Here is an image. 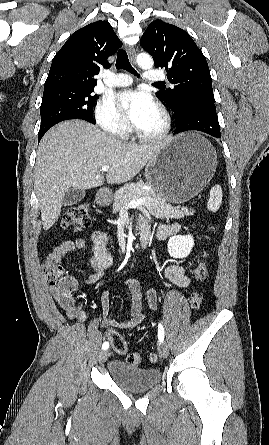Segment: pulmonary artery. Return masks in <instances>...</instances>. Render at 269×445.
<instances>
[{
  "label": "pulmonary artery",
  "instance_id": "obj_1",
  "mask_svg": "<svg viewBox=\"0 0 269 445\" xmlns=\"http://www.w3.org/2000/svg\"><path fill=\"white\" fill-rule=\"evenodd\" d=\"M144 79L148 82H157L165 79V76L162 72L156 70H147L144 73ZM132 82V79L129 75L124 73L114 74L111 79V85L115 87H123L128 86Z\"/></svg>",
  "mask_w": 269,
  "mask_h": 445
}]
</instances>
